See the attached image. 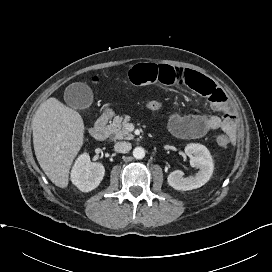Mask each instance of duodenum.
I'll return each instance as SVG.
<instances>
[{
	"label": "duodenum",
	"instance_id": "obj_1",
	"mask_svg": "<svg viewBox=\"0 0 272 272\" xmlns=\"http://www.w3.org/2000/svg\"><path fill=\"white\" fill-rule=\"evenodd\" d=\"M111 116L112 113L110 111H106L97 119L95 124L90 127L89 133L95 140L104 141L107 139L108 133L106 125Z\"/></svg>",
	"mask_w": 272,
	"mask_h": 272
}]
</instances>
